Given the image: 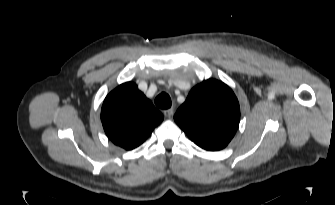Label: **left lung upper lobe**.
Returning <instances> with one entry per match:
<instances>
[{
	"label": "left lung upper lobe",
	"instance_id": "1",
	"mask_svg": "<svg viewBox=\"0 0 335 205\" xmlns=\"http://www.w3.org/2000/svg\"><path fill=\"white\" fill-rule=\"evenodd\" d=\"M174 120L201 148L221 150L228 145L238 128L239 103L226 84L208 79L190 91Z\"/></svg>",
	"mask_w": 335,
	"mask_h": 205
}]
</instances>
